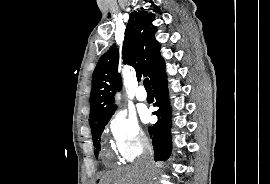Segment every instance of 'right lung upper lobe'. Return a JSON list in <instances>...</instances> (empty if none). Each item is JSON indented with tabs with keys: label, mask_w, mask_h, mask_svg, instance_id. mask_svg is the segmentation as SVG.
I'll return each mask as SVG.
<instances>
[{
	"label": "right lung upper lobe",
	"mask_w": 270,
	"mask_h": 184,
	"mask_svg": "<svg viewBox=\"0 0 270 184\" xmlns=\"http://www.w3.org/2000/svg\"><path fill=\"white\" fill-rule=\"evenodd\" d=\"M155 15L144 10L132 12L125 31L122 59L136 70L137 78L149 76L152 81L165 69L160 55L161 46L155 39L157 28L152 25ZM119 54L116 45L104 53L92 75L90 93V126L111 118L116 110L114 94L121 90L118 72Z\"/></svg>",
	"instance_id": "obj_1"
}]
</instances>
